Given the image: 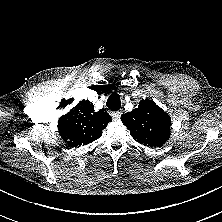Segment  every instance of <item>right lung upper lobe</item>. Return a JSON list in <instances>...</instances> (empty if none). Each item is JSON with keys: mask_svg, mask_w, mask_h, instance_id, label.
Returning a JSON list of instances; mask_svg holds the SVG:
<instances>
[{"mask_svg": "<svg viewBox=\"0 0 222 222\" xmlns=\"http://www.w3.org/2000/svg\"><path fill=\"white\" fill-rule=\"evenodd\" d=\"M111 121L104 110L95 111L89 101L79 102L69 113L59 119L58 130L70 147L89 144L102 136L103 129Z\"/></svg>", "mask_w": 222, "mask_h": 222, "instance_id": "1", "label": "right lung upper lobe"}]
</instances>
